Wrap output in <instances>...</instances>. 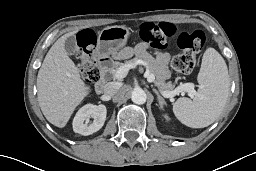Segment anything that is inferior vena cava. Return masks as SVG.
<instances>
[{
  "mask_svg": "<svg viewBox=\"0 0 256 171\" xmlns=\"http://www.w3.org/2000/svg\"><path fill=\"white\" fill-rule=\"evenodd\" d=\"M119 90V86L115 82H109L104 86V94L106 96L112 97L114 96Z\"/></svg>",
  "mask_w": 256,
  "mask_h": 171,
  "instance_id": "602c4592",
  "label": "inferior vena cava"
}]
</instances>
